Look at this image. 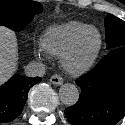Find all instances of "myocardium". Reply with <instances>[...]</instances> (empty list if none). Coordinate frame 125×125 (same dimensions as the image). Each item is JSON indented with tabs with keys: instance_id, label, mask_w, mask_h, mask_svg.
<instances>
[{
	"instance_id": "f54148a6",
	"label": "myocardium",
	"mask_w": 125,
	"mask_h": 125,
	"mask_svg": "<svg viewBox=\"0 0 125 125\" xmlns=\"http://www.w3.org/2000/svg\"><path fill=\"white\" fill-rule=\"evenodd\" d=\"M88 31H95L97 33L98 44L94 49V51L91 53V55L84 62L77 64L73 62L72 56L82 36ZM102 44H103L102 34L96 27L90 26L84 29L74 37V39L70 42L67 48L60 55V61H61L62 67L67 72L73 75H81L86 73L96 61L101 51Z\"/></svg>"
}]
</instances>
